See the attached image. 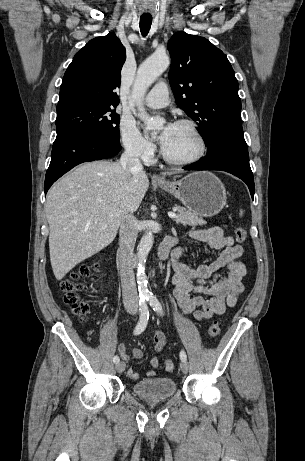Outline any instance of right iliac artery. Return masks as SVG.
Wrapping results in <instances>:
<instances>
[{
  "mask_svg": "<svg viewBox=\"0 0 305 461\" xmlns=\"http://www.w3.org/2000/svg\"><path fill=\"white\" fill-rule=\"evenodd\" d=\"M146 300H147L146 297H141L139 300L140 318L134 330L135 335H139L140 333H142L145 330L147 323H148L149 310L146 304ZM119 361L120 359L117 355L113 357L114 363H118Z\"/></svg>",
  "mask_w": 305,
  "mask_h": 461,
  "instance_id": "obj_1",
  "label": "right iliac artery"
}]
</instances>
